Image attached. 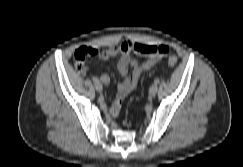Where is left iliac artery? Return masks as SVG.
<instances>
[{"label": "left iliac artery", "instance_id": "1", "mask_svg": "<svg viewBox=\"0 0 243 167\" xmlns=\"http://www.w3.org/2000/svg\"><path fill=\"white\" fill-rule=\"evenodd\" d=\"M154 83H155V84H158V83H159V79L156 78V79L154 80Z\"/></svg>", "mask_w": 243, "mask_h": 167}]
</instances>
